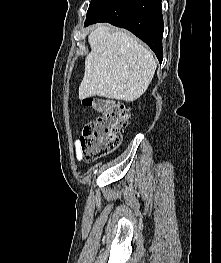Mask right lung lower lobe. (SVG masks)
<instances>
[{
	"label": "right lung lower lobe",
	"mask_w": 221,
	"mask_h": 263,
	"mask_svg": "<svg viewBox=\"0 0 221 263\" xmlns=\"http://www.w3.org/2000/svg\"><path fill=\"white\" fill-rule=\"evenodd\" d=\"M162 0H110L95 16L86 19L85 26L109 22L125 28L144 41L163 60Z\"/></svg>",
	"instance_id": "1"
}]
</instances>
